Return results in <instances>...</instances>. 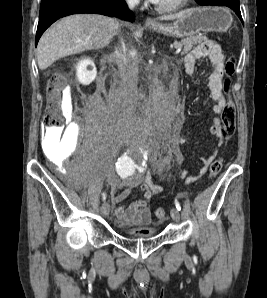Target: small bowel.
Here are the masks:
<instances>
[{
	"label": "small bowel",
	"mask_w": 267,
	"mask_h": 298,
	"mask_svg": "<svg viewBox=\"0 0 267 298\" xmlns=\"http://www.w3.org/2000/svg\"><path fill=\"white\" fill-rule=\"evenodd\" d=\"M204 57H208L211 63L209 89L211 99L214 103L213 111L217 115L213 118L209 131L221 142L224 136L222 119L219 116L223 114L228 101L223 94L224 55L220 46L211 40L203 41L197 45L185 57V70L187 74L192 75L196 62ZM171 104L172 101H170L169 105L171 106ZM212 158L213 156L202 158V166L199 174L197 176H189L186 183L190 184L204 175ZM162 169L163 167L161 166H155L156 171H161ZM122 186H126V188L121 193L116 194V191ZM134 188H139L143 192V197L134 200L129 205H124L123 201L131 194ZM110 191L111 200L115 206L114 213L118 223L126 227H137L135 231L138 234L145 235L151 233L152 229L148 228V225L151 223V210L148 202L154 196L161 193L163 188L152 180L150 171L144 176L135 175L124 180L114 178L110 182Z\"/></svg>",
	"instance_id": "obj_1"
}]
</instances>
